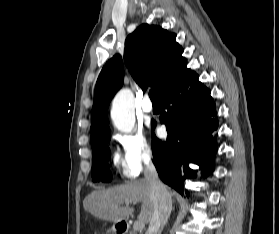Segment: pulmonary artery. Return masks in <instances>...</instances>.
Returning a JSON list of instances; mask_svg holds the SVG:
<instances>
[{
    "label": "pulmonary artery",
    "mask_w": 279,
    "mask_h": 234,
    "mask_svg": "<svg viewBox=\"0 0 279 234\" xmlns=\"http://www.w3.org/2000/svg\"><path fill=\"white\" fill-rule=\"evenodd\" d=\"M141 109L144 113H152L153 106L148 97H145V99L141 105Z\"/></svg>",
    "instance_id": "1"
}]
</instances>
